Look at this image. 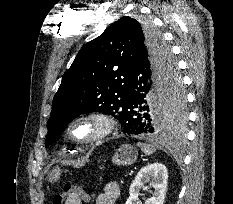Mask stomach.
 <instances>
[{"mask_svg":"<svg viewBox=\"0 0 233 204\" xmlns=\"http://www.w3.org/2000/svg\"><path fill=\"white\" fill-rule=\"evenodd\" d=\"M138 151L129 144L119 147L112 157V162L117 166L132 165L137 160ZM61 175V169L56 166L47 173V180L50 183L56 182Z\"/></svg>","mask_w":233,"mask_h":204,"instance_id":"1","label":"stomach"}]
</instances>
